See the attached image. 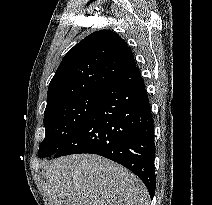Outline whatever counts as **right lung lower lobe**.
I'll return each instance as SVG.
<instances>
[{
	"instance_id": "1",
	"label": "right lung lower lobe",
	"mask_w": 212,
	"mask_h": 205,
	"mask_svg": "<svg viewBox=\"0 0 212 205\" xmlns=\"http://www.w3.org/2000/svg\"><path fill=\"white\" fill-rule=\"evenodd\" d=\"M76 153L101 155L125 166L143 181L153 198L154 121L137 66L102 91L96 108L54 158Z\"/></svg>"
}]
</instances>
